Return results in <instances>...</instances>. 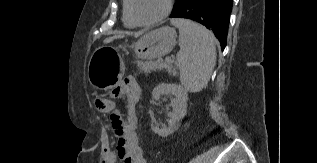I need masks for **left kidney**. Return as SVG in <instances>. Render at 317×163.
I'll use <instances>...</instances> for the list:
<instances>
[{
  "instance_id": "5707ae66",
  "label": "left kidney",
  "mask_w": 317,
  "mask_h": 163,
  "mask_svg": "<svg viewBox=\"0 0 317 163\" xmlns=\"http://www.w3.org/2000/svg\"><path fill=\"white\" fill-rule=\"evenodd\" d=\"M172 95L170 106L172 112L170 113V120L167 128H159L151 124V129L154 133L161 137H167L176 131L180 126V121L186 115V106L188 100V93L185 88L176 84L161 83L152 91V97L158 100L162 95Z\"/></svg>"
}]
</instances>
